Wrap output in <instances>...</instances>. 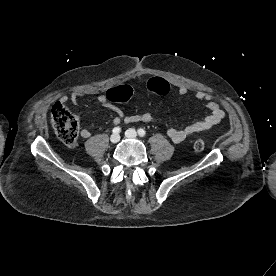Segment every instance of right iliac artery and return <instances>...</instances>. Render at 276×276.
<instances>
[{
	"label": "right iliac artery",
	"mask_w": 276,
	"mask_h": 276,
	"mask_svg": "<svg viewBox=\"0 0 276 276\" xmlns=\"http://www.w3.org/2000/svg\"><path fill=\"white\" fill-rule=\"evenodd\" d=\"M112 132L118 134V133L121 132V128L120 127H114Z\"/></svg>",
	"instance_id": "1"
}]
</instances>
